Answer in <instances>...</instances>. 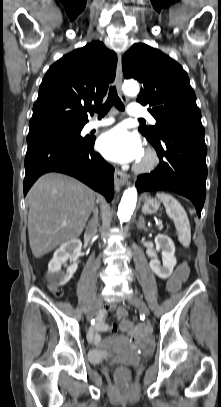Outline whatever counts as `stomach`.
Here are the masks:
<instances>
[{
    "mask_svg": "<svg viewBox=\"0 0 221 407\" xmlns=\"http://www.w3.org/2000/svg\"><path fill=\"white\" fill-rule=\"evenodd\" d=\"M160 207V202L156 198L147 197L145 198L142 211L145 214H153L157 212Z\"/></svg>",
    "mask_w": 221,
    "mask_h": 407,
    "instance_id": "1",
    "label": "stomach"
}]
</instances>
